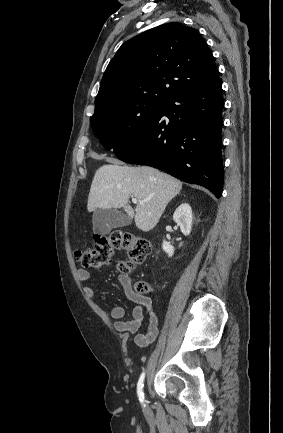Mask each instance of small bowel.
<instances>
[{"label": "small bowel", "instance_id": "1", "mask_svg": "<svg viewBox=\"0 0 283 433\" xmlns=\"http://www.w3.org/2000/svg\"><path fill=\"white\" fill-rule=\"evenodd\" d=\"M78 278L82 282H90L91 275L85 269L78 271ZM125 295L135 303V307L132 311V319L123 320L125 317V308L122 305L115 304L111 307L110 315L114 319V328L119 332L136 333L143 322L144 314H148V326L147 331L144 334H137L134 338L135 343L140 347H145L153 342L158 334V316L153 309V303L149 296L134 291L132 288L131 280L128 277H122L120 279ZM84 293L88 297H93L95 294V287L89 284L84 287Z\"/></svg>", "mask_w": 283, "mask_h": 433}]
</instances>
